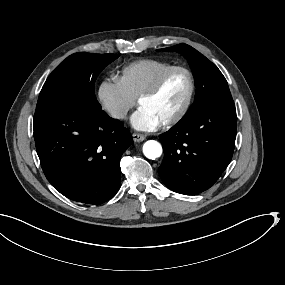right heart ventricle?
<instances>
[{"mask_svg": "<svg viewBox=\"0 0 285 285\" xmlns=\"http://www.w3.org/2000/svg\"><path fill=\"white\" fill-rule=\"evenodd\" d=\"M171 69H173L172 66L155 59H144L134 63L132 65L133 76L129 92L135 98L140 97Z\"/></svg>", "mask_w": 285, "mask_h": 285, "instance_id": "e07e8e85", "label": "right heart ventricle"}]
</instances>
